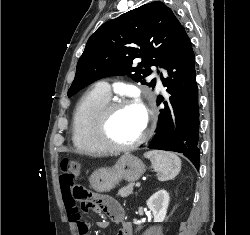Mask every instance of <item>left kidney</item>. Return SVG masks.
<instances>
[{
  "label": "left kidney",
  "mask_w": 250,
  "mask_h": 235,
  "mask_svg": "<svg viewBox=\"0 0 250 235\" xmlns=\"http://www.w3.org/2000/svg\"><path fill=\"white\" fill-rule=\"evenodd\" d=\"M169 201V193L164 189L157 191L148 199L147 206L153 213L154 222L165 220Z\"/></svg>",
  "instance_id": "obj_1"
}]
</instances>
